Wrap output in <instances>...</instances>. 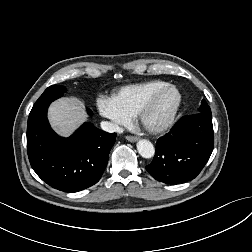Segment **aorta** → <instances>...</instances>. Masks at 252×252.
Returning a JSON list of instances; mask_svg holds the SVG:
<instances>
[{
	"mask_svg": "<svg viewBox=\"0 0 252 252\" xmlns=\"http://www.w3.org/2000/svg\"><path fill=\"white\" fill-rule=\"evenodd\" d=\"M138 153L146 159L152 158L155 154V148L153 144L146 139L139 140L137 143Z\"/></svg>",
	"mask_w": 252,
	"mask_h": 252,
	"instance_id": "1",
	"label": "aorta"
}]
</instances>
